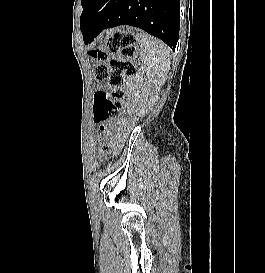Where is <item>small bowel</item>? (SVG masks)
<instances>
[{
    "label": "small bowel",
    "instance_id": "1",
    "mask_svg": "<svg viewBox=\"0 0 265 273\" xmlns=\"http://www.w3.org/2000/svg\"><path fill=\"white\" fill-rule=\"evenodd\" d=\"M111 132V131H110ZM111 136H112V134H111ZM112 143L114 144V138H113V141H112Z\"/></svg>",
    "mask_w": 265,
    "mask_h": 273
}]
</instances>
